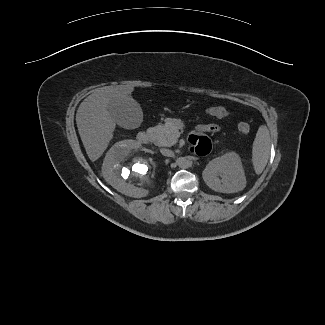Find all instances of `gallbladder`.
Wrapping results in <instances>:
<instances>
[{"label": "gallbladder", "instance_id": "obj_1", "mask_svg": "<svg viewBox=\"0 0 325 325\" xmlns=\"http://www.w3.org/2000/svg\"><path fill=\"white\" fill-rule=\"evenodd\" d=\"M108 111L113 120L122 128L134 129L140 126L143 113L134 99L118 98L109 103Z\"/></svg>", "mask_w": 325, "mask_h": 325}]
</instances>
